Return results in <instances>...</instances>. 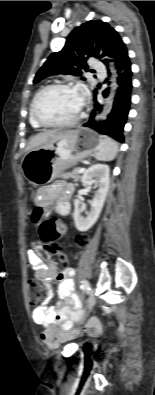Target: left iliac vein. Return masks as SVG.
I'll return each instance as SVG.
<instances>
[{
	"label": "left iliac vein",
	"mask_w": 155,
	"mask_h": 395,
	"mask_svg": "<svg viewBox=\"0 0 155 395\" xmlns=\"http://www.w3.org/2000/svg\"><path fill=\"white\" fill-rule=\"evenodd\" d=\"M96 302V295L94 289L89 291L88 299H87V308L89 311L92 310Z\"/></svg>",
	"instance_id": "left-iliac-vein-1"
}]
</instances>
